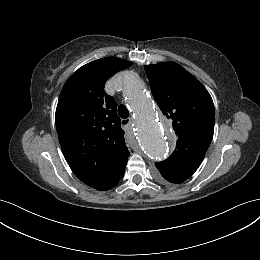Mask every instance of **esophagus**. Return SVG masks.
Listing matches in <instances>:
<instances>
[{
    "label": "esophagus",
    "instance_id": "esophagus-1",
    "mask_svg": "<svg viewBox=\"0 0 260 260\" xmlns=\"http://www.w3.org/2000/svg\"><path fill=\"white\" fill-rule=\"evenodd\" d=\"M131 122V119H122L121 120V125L123 127L127 126Z\"/></svg>",
    "mask_w": 260,
    "mask_h": 260
}]
</instances>
